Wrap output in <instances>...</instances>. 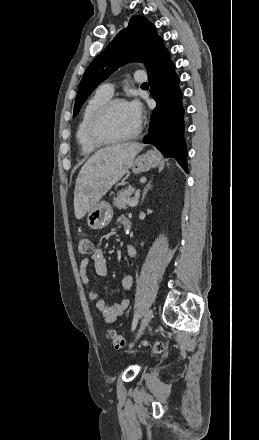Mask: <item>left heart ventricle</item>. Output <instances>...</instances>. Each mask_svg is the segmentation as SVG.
I'll return each mask as SVG.
<instances>
[{
	"label": "left heart ventricle",
	"mask_w": 259,
	"mask_h": 440,
	"mask_svg": "<svg viewBox=\"0 0 259 440\" xmlns=\"http://www.w3.org/2000/svg\"><path fill=\"white\" fill-rule=\"evenodd\" d=\"M137 126L128 111L126 103H121L116 105L110 112L105 131L110 136L122 137L132 133Z\"/></svg>",
	"instance_id": "b2bd125f"
}]
</instances>
